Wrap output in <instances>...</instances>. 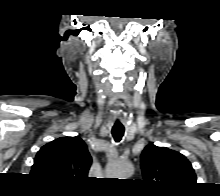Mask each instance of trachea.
Listing matches in <instances>:
<instances>
[{
    "label": "trachea",
    "mask_w": 220,
    "mask_h": 196,
    "mask_svg": "<svg viewBox=\"0 0 220 196\" xmlns=\"http://www.w3.org/2000/svg\"><path fill=\"white\" fill-rule=\"evenodd\" d=\"M113 138L116 142L121 141L123 135H124V128H118V127H114L112 128L111 131Z\"/></svg>",
    "instance_id": "trachea-1"
}]
</instances>
